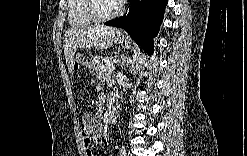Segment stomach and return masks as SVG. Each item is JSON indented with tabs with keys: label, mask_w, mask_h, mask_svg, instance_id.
I'll list each match as a JSON object with an SVG mask.
<instances>
[{
	"label": "stomach",
	"mask_w": 247,
	"mask_h": 156,
	"mask_svg": "<svg viewBox=\"0 0 247 156\" xmlns=\"http://www.w3.org/2000/svg\"><path fill=\"white\" fill-rule=\"evenodd\" d=\"M117 40L119 41V43H121L122 45L123 44H127V37L125 35H118L117 36ZM77 62L78 64H81V65H85L86 62L85 60L80 56V55H77L76 56V59L74 60V63ZM100 63V59L98 57H94L91 62H90V69H94L97 64Z\"/></svg>",
	"instance_id": "obj_1"
}]
</instances>
